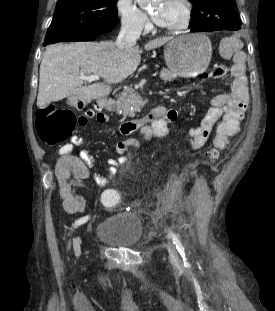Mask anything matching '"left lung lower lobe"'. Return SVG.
<instances>
[{
    "label": "left lung lower lobe",
    "instance_id": "1",
    "mask_svg": "<svg viewBox=\"0 0 275 311\" xmlns=\"http://www.w3.org/2000/svg\"><path fill=\"white\" fill-rule=\"evenodd\" d=\"M193 32H199V31H205V32H211V31H221L224 29L216 28V27H196V28H190Z\"/></svg>",
    "mask_w": 275,
    "mask_h": 311
}]
</instances>
